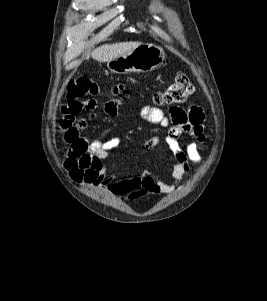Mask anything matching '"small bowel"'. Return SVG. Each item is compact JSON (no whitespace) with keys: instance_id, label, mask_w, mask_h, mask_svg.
Returning <instances> with one entry per match:
<instances>
[{"instance_id":"small-bowel-1","label":"small bowel","mask_w":267,"mask_h":301,"mask_svg":"<svg viewBox=\"0 0 267 301\" xmlns=\"http://www.w3.org/2000/svg\"><path fill=\"white\" fill-rule=\"evenodd\" d=\"M118 93L119 88H115L113 94L118 95ZM121 103V98L106 102L104 113L109 117L116 116ZM96 108L97 101L89 98L68 100L61 109L63 118L60 129L67 144L64 166L75 182L102 188L122 199L138 200L147 196L172 193L190 173L191 166L201 164L199 145L205 138L204 113L201 108L191 106L185 110L173 106L166 114L159 108L145 106L140 110V117L167 129L165 141L174 161L172 181L165 182L145 171L137 176L116 179L115 176L107 174L105 160L119 145L120 140L113 138L90 141L81 135V131L86 126V119L80 117V114L87 111L90 117H94ZM183 135H189L192 140L182 144L180 139ZM159 142V137H150L145 142V148L151 150Z\"/></svg>"}]
</instances>
